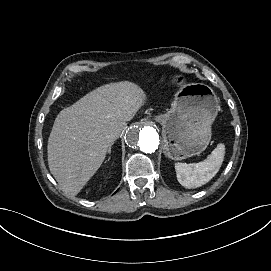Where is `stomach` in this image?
<instances>
[{"instance_id":"0dacf381","label":"stomach","mask_w":271,"mask_h":271,"mask_svg":"<svg viewBox=\"0 0 271 271\" xmlns=\"http://www.w3.org/2000/svg\"><path fill=\"white\" fill-rule=\"evenodd\" d=\"M218 111L217 96L209 86L191 84L179 90L171 109L154 116L162 126L165 155L183 160L202 153L211 141L212 123Z\"/></svg>"}]
</instances>
